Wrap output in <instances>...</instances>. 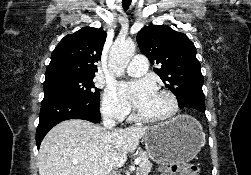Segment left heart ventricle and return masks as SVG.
I'll list each match as a JSON object with an SVG mask.
<instances>
[{
  "label": "left heart ventricle",
  "mask_w": 251,
  "mask_h": 175,
  "mask_svg": "<svg viewBox=\"0 0 251 175\" xmlns=\"http://www.w3.org/2000/svg\"><path fill=\"white\" fill-rule=\"evenodd\" d=\"M171 109L168 97L157 92L153 102L142 113L148 116H165L171 112Z\"/></svg>",
  "instance_id": "1"
}]
</instances>
